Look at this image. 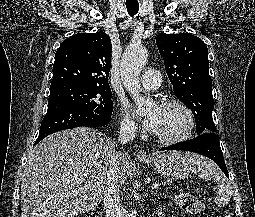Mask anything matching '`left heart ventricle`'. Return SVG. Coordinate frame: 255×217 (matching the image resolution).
<instances>
[{
    "label": "left heart ventricle",
    "mask_w": 255,
    "mask_h": 217,
    "mask_svg": "<svg viewBox=\"0 0 255 217\" xmlns=\"http://www.w3.org/2000/svg\"><path fill=\"white\" fill-rule=\"evenodd\" d=\"M187 125L185 113L178 107H160L158 128L155 133L161 137H172L184 131Z\"/></svg>",
    "instance_id": "left-heart-ventricle-1"
}]
</instances>
